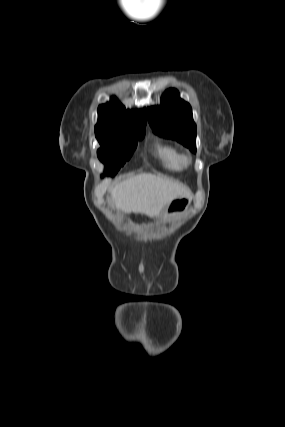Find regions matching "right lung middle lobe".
Listing matches in <instances>:
<instances>
[{
  "instance_id": "1",
  "label": "right lung middle lobe",
  "mask_w": 285,
  "mask_h": 427,
  "mask_svg": "<svg viewBox=\"0 0 285 427\" xmlns=\"http://www.w3.org/2000/svg\"><path fill=\"white\" fill-rule=\"evenodd\" d=\"M144 128L139 129H114L95 131L101 148L97 154L100 161L106 164V173L113 176L121 166L128 161L136 146L137 139L144 137Z\"/></svg>"
}]
</instances>
